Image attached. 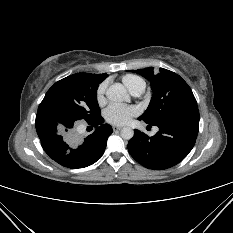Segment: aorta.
Masks as SVG:
<instances>
[{
	"instance_id": "aorta-1",
	"label": "aorta",
	"mask_w": 233,
	"mask_h": 233,
	"mask_svg": "<svg viewBox=\"0 0 233 233\" xmlns=\"http://www.w3.org/2000/svg\"><path fill=\"white\" fill-rule=\"evenodd\" d=\"M106 96L110 101L123 102L130 101V97L122 84H113L107 91ZM134 136V131L130 127H123L121 129V137L126 140H130Z\"/></svg>"
}]
</instances>
